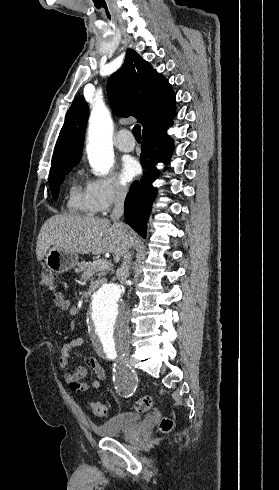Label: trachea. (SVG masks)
<instances>
[{
	"label": "trachea",
	"mask_w": 279,
	"mask_h": 490,
	"mask_svg": "<svg viewBox=\"0 0 279 490\" xmlns=\"http://www.w3.org/2000/svg\"><path fill=\"white\" fill-rule=\"evenodd\" d=\"M132 133L134 137L136 138L137 141L141 140V134H140V125H135L133 127Z\"/></svg>",
	"instance_id": "trachea-1"
}]
</instances>
